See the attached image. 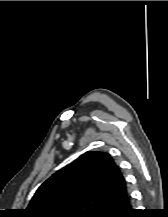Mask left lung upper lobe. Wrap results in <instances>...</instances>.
<instances>
[{"label": "left lung upper lobe", "instance_id": "5c2ea615", "mask_svg": "<svg viewBox=\"0 0 168 217\" xmlns=\"http://www.w3.org/2000/svg\"><path fill=\"white\" fill-rule=\"evenodd\" d=\"M125 188L120 168L109 154L86 152L46 180L26 212L30 217H98Z\"/></svg>", "mask_w": 168, "mask_h": 217}]
</instances>
